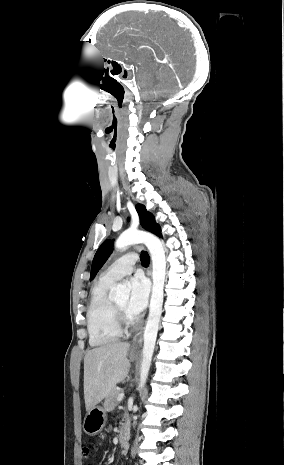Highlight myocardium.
Listing matches in <instances>:
<instances>
[{
    "mask_svg": "<svg viewBox=\"0 0 284 465\" xmlns=\"http://www.w3.org/2000/svg\"><path fill=\"white\" fill-rule=\"evenodd\" d=\"M114 315L116 321H114L115 329L120 333L124 334L130 331L137 323V318L128 317L118 308L116 303H112Z\"/></svg>",
    "mask_w": 284,
    "mask_h": 465,
    "instance_id": "myocardium-1",
    "label": "myocardium"
}]
</instances>
